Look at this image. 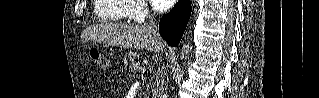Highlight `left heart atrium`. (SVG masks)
<instances>
[{"instance_id":"obj_1","label":"left heart atrium","mask_w":319,"mask_h":98,"mask_svg":"<svg viewBox=\"0 0 319 98\" xmlns=\"http://www.w3.org/2000/svg\"><path fill=\"white\" fill-rule=\"evenodd\" d=\"M153 7L157 11H165L173 4V0H151Z\"/></svg>"}]
</instances>
